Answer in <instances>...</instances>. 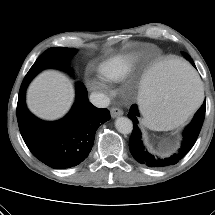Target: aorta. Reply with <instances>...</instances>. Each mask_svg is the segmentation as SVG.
I'll return each instance as SVG.
<instances>
[{
    "instance_id": "obj_1",
    "label": "aorta",
    "mask_w": 215,
    "mask_h": 215,
    "mask_svg": "<svg viewBox=\"0 0 215 215\" xmlns=\"http://www.w3.org/2000/svg\"><path fill=\"white\" fill-rule=\"evenodd\" d=\"M115 127L122 134H130L133 130V123L127 117H118L115 121Z\"/></svg>"
}]
</instances>
